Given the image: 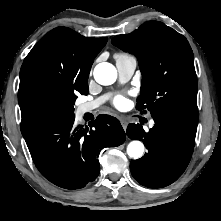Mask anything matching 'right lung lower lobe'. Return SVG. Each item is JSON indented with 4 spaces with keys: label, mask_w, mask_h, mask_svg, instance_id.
<instances>
[{
    "label": "right lung lower lobe",
    "mask_w": 221,
    "mask_h": 221,
    "mask_svg": "<svg viewBox=\"0 0 221 221\" xmlns=\"http://www.w3.org/2000/svg\"><path fill=\"white\" fill-rule=\"evenodd\" d=\"M74 120V116L42 120L23 133L39 172L65 189L83 188L94 181L100 172L101 150L126 139L115 117L99 115L85 128L75 126Z\"/></svg>",
    "instance_id": "98d812e1"
}]
</instances>
